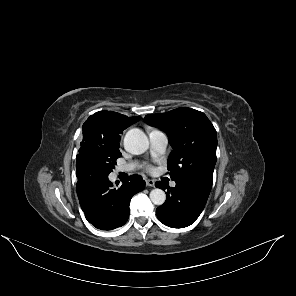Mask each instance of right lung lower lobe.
Masks as SVG:
<instances>
[{
	"label": "right lung lower lobe",
	"mask_w": 296,
	"mask_h": 296,
	"mask_svg": "<svg viewBox=\"0 0 296 296\" xmlns=\"http://www.w3.org/2000/svg\"><path fill=\"white\" fill-rule=\"evenodd\" d=\"M76 169L77 195L86 219L101 230L124 225L131 198L145 188L142 177L132 175L115 187L108 179L109 174L94 159L80 154L76 157Z\"/></svg>",
	"instance_id": "98d812e1"
}]
</instances>
